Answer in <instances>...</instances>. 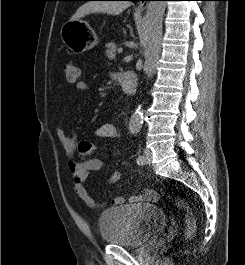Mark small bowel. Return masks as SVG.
Here are the masks:
<instances>
[{"label":"small bowel","mask_w":245,"mask_h":265,"mask_svg":"<svg viewBox=\"0 0 245 265\" xmlns=\"http://www.w3.org/2000/svg\"><path fill=\"white\" fill-rule=\"evenodd\" d=\"M76 89L80 92H85L88 90V84L80 80L76 83ZM57 136L61 142L62 148L65 153L72 157L75 154L77 148L78 136L76 133L68 135L66 131L61 127H57ZM95 136L98 138L114 139L118 137V131L115 125L111 123H103L99 125L95 132ZM104 168V163L98 158H91L83 162H69V172L72 177V185L75 194L80 198L88 207L99 208L103 206V202L96 201L92 198L86 188V180L88 176L93 172H99ZM121 174L119 171L112 169L109 172L107 183L109 185L116 183ZM159 199V194L152 189H145L143 194H135L129 198L130 203H140L143 201L155 202ZM125 198L122 196H117L112 199V204L114 206L123 205Z\"/></svg>","instance_id":"c3829d8e"}]
</instances>
